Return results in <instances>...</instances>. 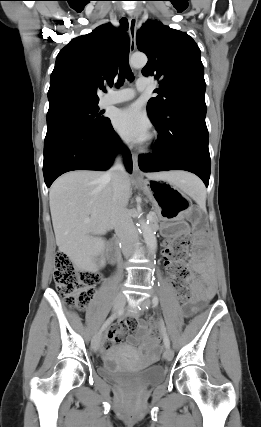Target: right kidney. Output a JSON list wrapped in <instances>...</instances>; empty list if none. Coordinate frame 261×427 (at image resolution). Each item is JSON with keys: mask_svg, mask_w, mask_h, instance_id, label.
Segmentation results:
<instances>
[{"mask_svg": "<svg viewBox=\"0 0 261 427\" xmlns=\"http://www.w3.org/2000/svg\"><path fill=\"white\" fill-rule=\"evenodd\" d=\"M99 252L101 253L100 267H104L106 264V260L104 257L105 244L103 241L98 242Z\"/></svg>", "mask_w": 261, "mask_h": 427, "instance_id": "right-kidney-1", "label": "right kidney"}]
</instances>
